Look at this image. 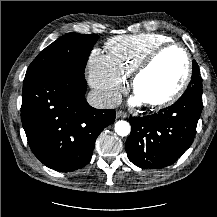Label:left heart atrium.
Returning <instances> with one entry per match:
<instances>
[{"mask_svg":"<svg viewBox=\"0 0 217 217\" xmlns=\"http://www.w3.org/2000/svg\"><path fill=\"white\" fill-rule=\"evenodd\" d=\"M136 101L139 102V101H142L138 96H136Z\"/></svg>","mask_w":217,"mask_h":217,"instance_id":"1","label":"left heart atrium"}]
</instances>
